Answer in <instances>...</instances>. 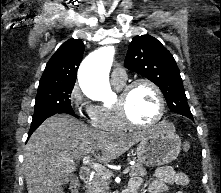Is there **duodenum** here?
Returning <instances> with one entry per match:
<instances>
[{
	"instance_id": "1",
	"label": "duodenum",
	"mask_w": 221,
	"mask_h": 193,
	"mask_svg": "<svg viewBox=\"0 0 221 193\" xmlns=\"http://www.w3.org/2000/svg\"><path fill=\"white\" fill-rule=\"evenodd\" d=\"M92 177V170L90 169V167L85 166L80 170V178L82 181L84 182H89L90 179ZM121 193H135V191L133 189H125L123 190Z\"/></svg>"
}]
</instances>
